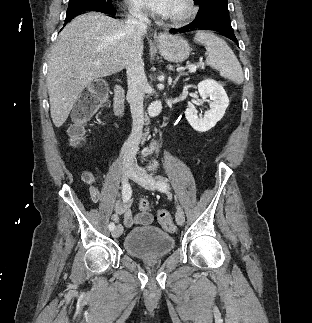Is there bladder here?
Wrapping results in <instances>:
<instances>
[{"label":"bladder","instance_id":"bladder-1","mask_svg":"<svg viewBox=\"0 0 312 323\" xmlns=\"http://www.w3.org/2000/svg\"><path fill=\"white\" fill-rule=\"evenodd\" d=\"M173 247L174 238L154 226L131 229L124 239L125 251L141 259L165 257Z\"/></svg>","mask_w":312,"mask_h":323}]
</instances>
